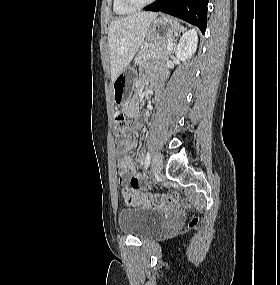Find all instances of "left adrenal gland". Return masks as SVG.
Returning <instances> with one entry per match:
<instances>
[{
  "label": "left adrenal gland",
  "mask_w": 280,
  "mask_h": 285,
  "mask_svg": "<svg viewBox=\"0 0 280 285\" xmlns=\"http://www.w3.org/2000/svg\"><path fill=\"white\" fill-rule=\"evenodd\" d=\"M184 31H186V28L185 27H183V26H180L179 27V34L181 33V32H184ZM179 36H177L176 37V40L174 41V47H173V49H172V52L171 53H173L174 51H175V49H176V42H177V38H178Z\"/></svg>",
  "instance_id": "obj_1"
}]
</instances>
